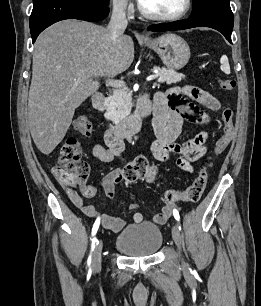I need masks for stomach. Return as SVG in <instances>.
<instances>
[{
    "mask_svg": "<svg viewBox=\"0 0 261 306\" xmlns=\"http://www.w3.org/2000/svg\"><path fill=\"white\" fill-rule=\"evenodd\" d=\"M144 44L153 49L163 64L171 70L182 69L190 59V48L186 41L174 34L167 33L156 39L145 40Z\"/></svg>",
    "mask_w": 261,
    "mask_h": 306,
    "instance_id": "obj_1",
    "label": "stomach"
}]
</instances>
